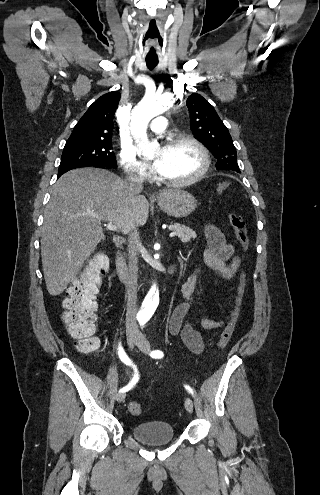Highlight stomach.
Masks as SVG:
<instances>
[{"instance_id":"1","label":"stomach","mask_w":320,"mask_h":495,"mask_svg":"<svg viewBox=\"0 0 320 495\" xmlns=\"http://www.w3.org/2000/svg\"><path fill=\"white\" fill-rule=\"evenodd\" d=\"M157 200L162 211L176 218L190 215L197 205L196 199L190 193L178 189L161 193Z\"/></svg>"}]
</instances>
